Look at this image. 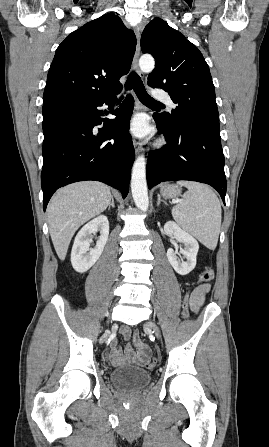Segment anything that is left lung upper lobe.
<instances>
[{"label": "left lung upper lobe", "instance_id": "1", "mask_svg": "<svg viewBox=\"0 0 269 447\" xmlns=\"http://www.w3.org/2000/svg\"><path fill=\"white\" fill-rule=\"evenodd\" d=\"M141 49L156 59L148 85L164 89L177 104L171 114L162 113L161 117L168 122L219 132L214 85L201 52L160 18L145 27Z\"/></svg>", "mask_w": 269, "mask_h": 447}]
</instances>
